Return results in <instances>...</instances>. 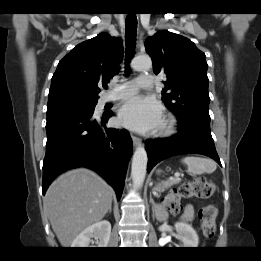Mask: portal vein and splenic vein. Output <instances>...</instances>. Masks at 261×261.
<instances>
[{
	"label": "portal vein and splenic vein",
	"mask_w": 261,
	"mask_h": 261,
	"mask_svg": "<svg viewBox=\"0 0 261 261\" xmlns=\"http://www.w3.org/2000/svg\"><path fill=\"white\" fill-rule=\"evenodd\" d=\"M175 178H173V179H171V181H173V182H178V181H180V174L179 173H175Z\"/></svg>",
	"instance_id": "portal-vein-and-splenic-vein-1"
}]
</instances>
